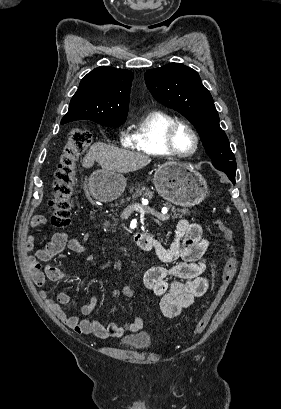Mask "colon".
<instances>
[{"mask_svg": "<svg viewBox=\"0 0 281 409\" xmlns=\"http://www.w3.org/2000/svg\"><path fill=\"white\" fill-rule=\"evenodd\" d=\"M90 142L91 134L85 129L75 128L68 133L65 148L58 159L54 195L49 202L50 223L55 228L65 227L69 223L74 187L77 183L76 160L83 155ZM216 223L226 242L228 256L218 288L205 312L195 323L193 331L196 334L207 328L219 309L228 293L238 265L237 247L232 229L222 220H217Z\"/></svg>", "mask_w": 281, "mask_h": 409, "instance_id": "colon-1", "label": "colon"}]
</instances>
